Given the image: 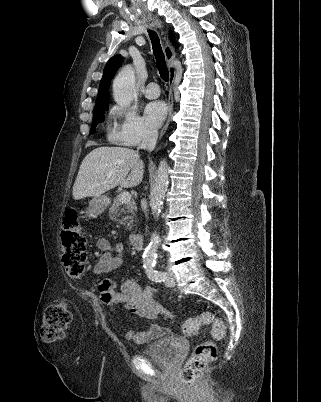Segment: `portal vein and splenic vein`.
Instances as JSON below:
<instances>
[{"label": "portal vein and splenic vein", "instance_id": "obj_1", "mask_svg": "<svg viewBox=\"0 0 321 402\" xmlns=\"http://www.w3.org/2000/svg\"><path fill=\"white\" fill-rule=\"evenodd\" d=\"M103 178H104V177H103ZM119 198H120V201H121L122 203H127V202H129V201L131 200V195H130L129 192H122V193L119 195Z\"/></svg>", "mask_w": 321, "mask_h": 402}]
</instances>
